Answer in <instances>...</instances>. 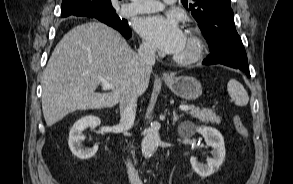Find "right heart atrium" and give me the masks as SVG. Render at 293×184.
Returning a JSON list of instances; mask_svg holds the SVG:
<instances>
[{
	"label": "right heart atrium",
	"instance_id": "1",
	"mask_svg": "<svg viewBox=\"0 0 293 184\" xmlns=\"http://www.w3.org/2000/svg\"><path fill=\"white\" fill-rule=\"evenodd\" d=\"M141 48H142V51L146 54H153L154 53L153 46L148 42H143Z\"/></svg>",
	"mask_w": 293,
	"mask_h": 184
}]
</instances>
